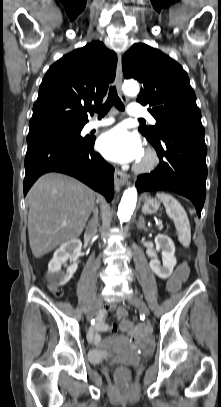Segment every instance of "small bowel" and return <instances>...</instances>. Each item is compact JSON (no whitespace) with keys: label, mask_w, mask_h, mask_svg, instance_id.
<instances>
[{"label":"small bowel","mask_w":221,"mask_h":407,"mask_svg":"<svg viewBox=\"0 0 221 407\" xmlns=\"http://www.w3.org/2000/svg\"><path fill=\"white\" fill-rule=\"evenodd\" d=\"M113 309H115V305L111 304L109 306L104 307L99 312V314L96 318L95 325L89 332V339L93 343H95V344L101 343V340H102L101 335H100L101 332L106 333V334H112V333L117 332V330L119 329L118 325L108 324L105 322V318H106L108 312ZM116 317H117V313H116ZM121 331L128 332L129 330H121Z\"/></svg>","instance_id":"obj_1"}]
</instances>
